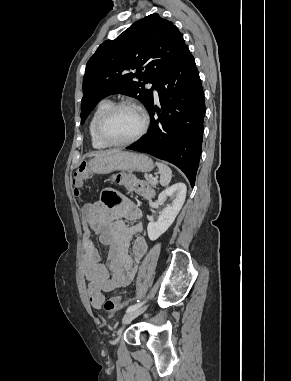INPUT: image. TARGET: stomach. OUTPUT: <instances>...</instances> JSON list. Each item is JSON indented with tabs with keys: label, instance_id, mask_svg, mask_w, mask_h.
<instances>
[{
	"label": "stomach",
	"instance_id": "obj_1",
	"mask_svg": "<svg viewBox=\"0 0 291 381\" xmlns=\"http://www.w3.org/2000/svg\"><path fill=\"white\" fill-rule=\"evenodd\" d=\"M87 166L90 172L96 174H108L117 170L149 172L154 167L147 155L125 151L97 156Z\"/></svg>",
	"mask_w": 291,
	"mask_h": 381
}]
</instances>
